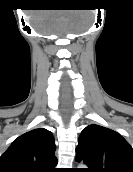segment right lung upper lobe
<instances>
[{
    "label": "right lung upper lobe",
    "instance_id": "obj_1",
    "mask_svg": "<svg viewBox=\"0 0 133 172\" xmlns=\"http://www.w3.org/2000/svg\"><path fill=\"white\" fill-rule=\"evenodd\" d=\"M54 137L44 128L18 137L0 157V172H56Z\"/></svg>",
    "mask_w": 133,
    "mask_h": 172
}]
</instances>
